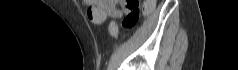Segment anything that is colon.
Wrapping results in <instances>:
<instances>
[{
	"instance_id": "1",
	"label": "colon",
	"mask_w": 238,
	"mask_h": 70,
	"mask_svg": "<svg viewBox=\"0 0 238 70\" xmlns=\"http://www.w3.org/2000/svg\"><path fill=\"white\" fill-rule=\"evenodd\" d=\"M125 5L129 13L125 17L123 26L127 29H131L136 26L142 13L148 14L153 10L155 1L147 0L144 2V6H141L138 0H126ZM118 29H120V21H109L107 32H109L112 37L118 35Z\"/></svg>"
}]
</instances>
